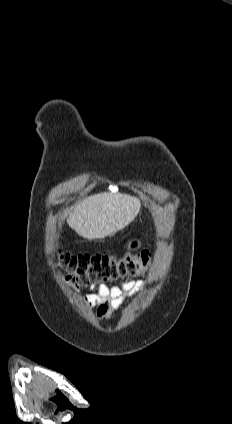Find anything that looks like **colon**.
Segmentation results:
<instances>
[{
	"instance_id": "colon-1",
	"label": "colon",
	"mask_w": 232,
	"mask_h": 424,
	"mask_svg": "<svg viewBox=\"0 0 232 424\" xmlns=\"http://www.w3.org/2000/svg\"><path fill=\"white\" fill-rule=\"evenodd\" d=\"M153 252L72 254L60 252L58 262L66 272V280L76 287H88L102 282L135 277L148 270Z\"/></svg>"
}]
</instances>
